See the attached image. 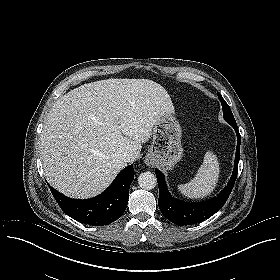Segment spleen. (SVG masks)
<instances>
[{
    "label": "spleen",
    "instance_id": "3e777b00",
    "mask_svg": "<svg viewBox=\"0 0 280 280\" xmlns=\"http://www.w3.org/2000/svg\"><path fill=\"white\" fill-rule=\"evenodd\" d=\"M220 174L217 156L206 152L202 165L195 177L188 183L178 185L179 191L190 199H200L210 195L216 188Z\"/></svg>",
    "mask_w": 280,
    "mask_h": 280
}]
</instances>
